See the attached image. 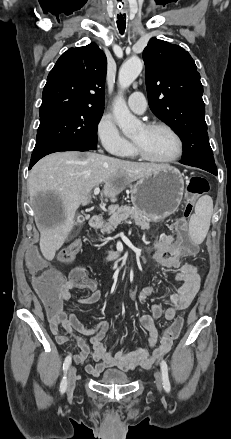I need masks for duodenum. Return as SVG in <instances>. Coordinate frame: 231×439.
<instances>
[{"label": "duodenum", "instance_id": "1", "mask_svg": "<svg viewBox=\"0 0 231 439\" xmlns=\"http://www.w3.org/2000/svg\"><path fill=\"white\" fill-rule=\"evenodd\" d=\"M102 224H103V218L100 215H94L89 220V225L92 228H99ZM122 255L123 254L117 250L110 251L108 253V255L106 256V261L117 260V259L121 258Z\"/></svg>", "mask_w": 231, "mask_h": 439}]
</instances>
